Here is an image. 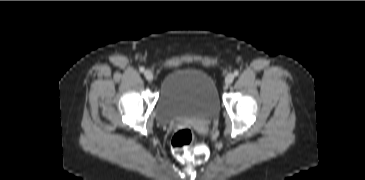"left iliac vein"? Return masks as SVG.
Returning <instances> with one entry per match:
<instances>
[{
    "label": "left iliac vein",
    "instance_id": "left-iliac-vein-1",
    "mask_svg": "<svg viewBox=\"0 0 365 180\" xmlns=\"http://www.w3.org/2000/svg\"><path fill=\"white\" fill-rule=\"evenodd\" d=\"M234 80V75L232 73H229L226 77H225V83L226 85H230Z\"/></svg>",
    "mask_w": 365,
    "mask_h": 180
}]
</instances>
